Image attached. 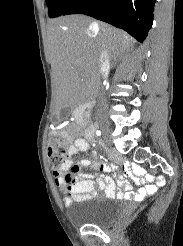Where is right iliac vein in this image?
I'll list each match as a JSON object with an SVG mask.
<instances>
[{
    "mask_svg": "<svg viewBox=\"0 0 183 246\" xmlns=\"http://www.w3.org/2000/svg\"><path fill=\"white\" fill-rule=\"evenodd\" d=\"M100 128H101V131L103 133L104 138L106 140H109L110 136H111V130H110V126H109L108 122H101Z\"/></svg>",
    "mask_w": 183,
    "mask_h": 246,
    "instance_id": "obj_1",
    "label": "right iliac vein"
}]
</instances>
